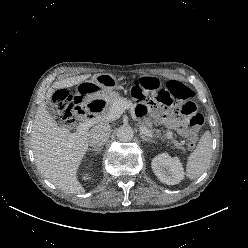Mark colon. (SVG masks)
<instances>
[{"instance_id":"5ec220e1","label":"colon","mask_w":248,"mask_h":248,"mask_svg":"<svg viewBox=\"0 0 248 248\" xmlns=\"http://www.w3.org/2000/svg\"><path fill=\"white\" fill-rule=\"evenodd\" d=\"M131 93L141 104L152 101L146 88L140 84L135 85ZM193 96L194 91L191 87L181 81L172 80L167 82L164 88L159 89L153 98L163 106L180 103L178 112L188 118L186 124L189 128L188 145L190 148L196 146L198 140L196 130L203 123V117L197 112V107L191 100ZM54 104L60 120L70 127L74 125L78 118L83 116L84 108L82 105L74 101L66 91L61 90L55 94Z\"/></svg>"}]
</instances>
